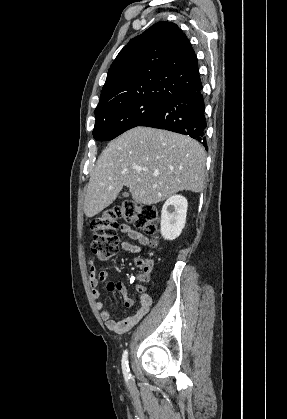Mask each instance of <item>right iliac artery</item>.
<instances>
[{"label": "right iliac artery", "mask_w": 287, "mask_h": 419, "mask_svg": "<svg viewBox=\"0 0 287 419\" xmlns=\"http://www.w3.org/2000/svg\"><path fill=\"white\" fill-rule=\"evenodd\" d=\"M122 370L125 379H129L131 377L129 366H128V351L125 350L122 356Z\"/></svg>", "instance_id": "82829eb1"}]
</instances>
